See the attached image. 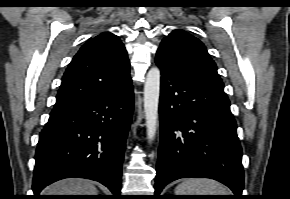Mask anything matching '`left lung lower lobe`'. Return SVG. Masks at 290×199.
I'll list each match as a JSON object with an SVG mask.
<instances>
[{
  "label": "left lung lower lobe",
  "instance_id": "1",
  "mask_svg": "<svg viewBox=\"0 0 290 199\" xmlns=\"http://www.w3.org/2000/svg\"><path fill=\"white\" fill-rule=\"evenodd\" d=\"M161 70L160 146L156 196L180 178H211L241 199L242 149L224 88L173 68L159 53Z\"/></svg>",
  "mask_w": 290,
  "mask_h": 199
}]
</instances>
